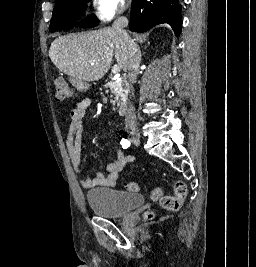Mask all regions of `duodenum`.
I'll list each match as a JSON object with an SVG mask.
<instances>
[{
	"mask_svg": "<svg viewBox=\"0 0 256 267\" xmlns=\"http://www.w3.org/2000/svg\"><path fill=\"white\" fill-rule=\"evenodd\" d=\"M72 85L76 90H86L85 92L88 93L87 87L90 83H97V78H72L71 79ZM129 109V101L128 100H120L118 102V112L120 115L125 116L128 113Z\"/></svg>",
	"mask_w": 256,
	"mask_h": 267,
	"instance_id": "1",
	"label": "duodenum"
}]
</instances>
